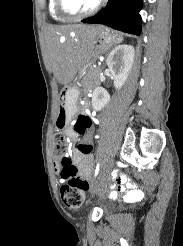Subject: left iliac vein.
Segmentation results:
<instances>
[{"label":"left iliac vein","mask_w":183,"mask_h":246,"mask_svg":"<svg viewBox=\"0 0 183 246\" xmlns=\"http://www.w3.org/2000/svg\"><path fill=\"white\" fill-rule=\"evenodd\" d=\"M112 166H113V159H110L106 164L105 172H109ZM96 191H97V188L94 189L93 193H95Z\"/></svg>","instance_id":"obj_1"}]
</instances>
